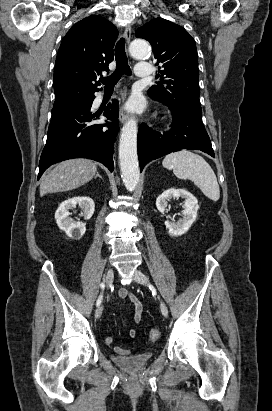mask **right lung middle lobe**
I'll list each match as a JSON object with an SVG mask.
<instances>
[{"label": "right lung middle lobe", "mask_w": 272, "mask_h": 411, "mask_svg": "<svg viewBox=\"0 0 272 411\" xmlns=\"http://www.w3.org/2000/svg\"><path fill=\"white\" fill-rule=\"evenodd\" d=\"M91 96H86L84 94H78L76 96H74L73 98L62 102V103H58V104H54V107L52 109V113H57L63 110H66L68 108H71L77 104H80L86 100H88Z\"/></svg>", "instance_id": "dd1d6c3e"}]
</instances>
